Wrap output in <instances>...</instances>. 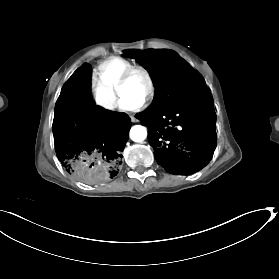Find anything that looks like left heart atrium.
Returning a JSON list of instances; mask_svg holds the SVG:
<instances>
[{
	"label": "left heart atrium",
	"instance_id": "obj_1",
	"mask_svg": "<svg viewBox=\"0 0 279 279\" xmlns=\"http://www.w3.org/2000/svg\"><path fill=\"white\" fill-rule=\"evenodd\" d=\"M143 105V102L138 101H129L126 99H121L120 107L123 111H137L139 110Z\"/></svg>",
	"mask_w": 279,
	"mask_h": 279
}]
</instances>
